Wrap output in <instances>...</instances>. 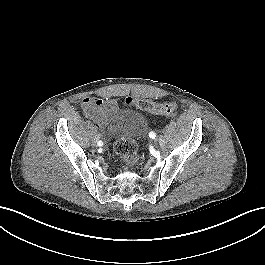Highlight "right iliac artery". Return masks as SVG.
<instances>
[{
    "mask_svg": "<svg viewBox=\"0 0 265 265\" xmlns=\"http://www.w3.org/2000/svg\"><path fill=\"white\" fill-rule=\"evenodd\" d=\"M97 144H98V146H102L103 142L102 141H98Z\"/></svg>",
    "mask_w": 265,
    "mask_h": 265,
    "instance_id": "82829eb1",
    "label": "right iliac artery"
}]
</instances>
